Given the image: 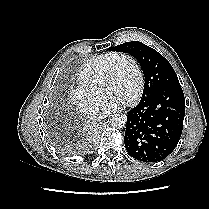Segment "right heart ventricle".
Returning <instances> with one entry per match:
<instances>
[{"instance_id":"e07e8e85","label":"right heart ventricle","mask_w":209,"mask_h":209,"mask_svg":"<svg viewBox=\"0 0 209 209\" xmlns=\"http://www.w3.org/2000/svg\"><path fill=\"white\" fill-rule=\"evenodd\" d=\"M118 55L116 52L97 55L88 60L78 71L77 81L80 87L102 93V81L104 72L109 63Z\"/></svg>"}]
</instances>
